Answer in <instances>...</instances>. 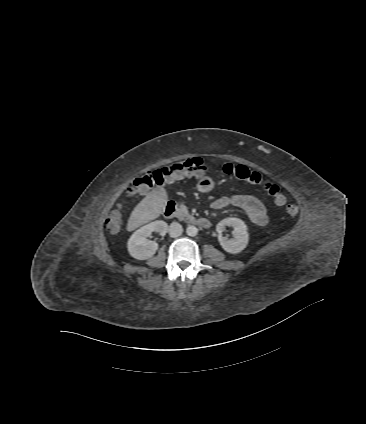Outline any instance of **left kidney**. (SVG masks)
Returning a JSON list of instances; mask_svg holds the SVG:
<instances>
[{
    "label": "left kidney",
    "mask_w": 366,
    "mask_h": 424,
    "mask_svg": "<svg viewBox=\"0 0 366 424\" xmlns=\"http://www.w3.org/2000/svg\"><path fill=\"white\" fill-rule=\"evenodd\" d=\"M226 226L234 229V237L232 239H227L221 235ZM216 231L219 233L218 240L221 247L228 253L237 254L244 250L248 244L249 233L247 225L239 218L221 220L216 226Z\"/></svg>",
    "instance_id": "5707ae66"
}]
</instances>
